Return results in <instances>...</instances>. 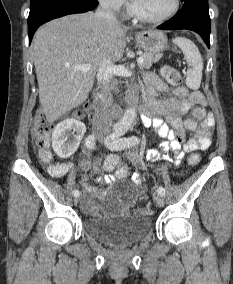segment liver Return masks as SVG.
<instances>
[{
    "label": "liver",
    "instance_id": "1",
    "mask_svg": "<svg viewBox=\"0 0 233 284\" xmlns=\"http://www.w3.org/2000/svg\"><path fill=\"white\" fill-rule=\"evenodd\" d=\"M128 27L94 13L68 15L41 26L32 41L39 99L46 120L54 122L88 98L105 58L119 60ZM90 64L87 72L74 67Z\"/></svg>",
    "mask_w": 233,
    "mask_h": 284
}]
</instances>
